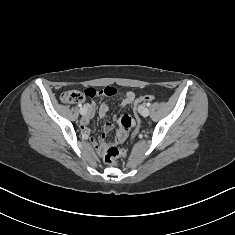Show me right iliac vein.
Listing matches in <instances>:
<instances>
[{
    "label": "right iliac vein",
    "instance_id": "63e3f726",
    "mask_svg": "<svg viewBox=\"0 0 235 235\" xmlns=\"http://www.w3.org/2000/svg\"><path fill=\"white\" fill-rule=\"evenodd\" d=\"M80 114L83 116V117H86L87 116V111L85 108H81L80 109Z\"/></svg>",
    "mask_w": 235,
    "mask_h": 235
}]
</instances>
